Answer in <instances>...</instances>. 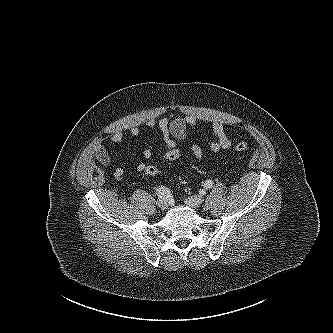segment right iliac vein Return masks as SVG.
Wrapping results in <instances>:
<instances>
[{
    "label": "right iliac vein",
    "mask_w": 333,
    "mask_h": 333,
    "mask_svg": "<svg viewBox=\"0 0 333 333\" xmlns=\"http://www.w3.org/2000/svg\"><path fill=\"white\" fill-rule=\"evenodd\" d=\"M157 206L162 209V210H165L167 209L168 207V200L167 199H164V198H161L157 201Z\"/></svg>",
    "instance_id": "1"
}]
</instances>
